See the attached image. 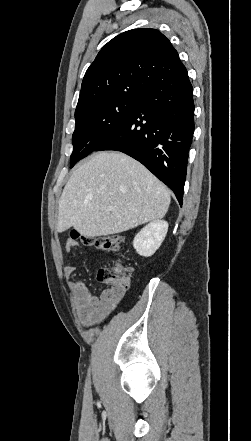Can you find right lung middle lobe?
Returning a JSON list of instances; mask_svg holds the SVG:
<instances>
[{"label": "right lung middle lobe", "instance_id": "1", "mask_svg": "<svg viewBox=\"0 0 251 441\" xmlns=\"http://www.w3.org/2000/svg\"><path fill=\"white\" fill-rule=\"evenodd\" d=\"M142 95L130 94L90 103L75 113L70 167L93 152L137 107Z\"/></svg>", "mask_w": 251, "mask_h": 441}]
</instances>
